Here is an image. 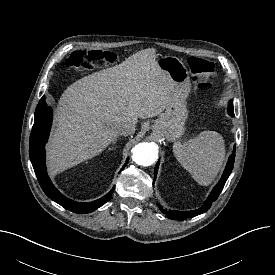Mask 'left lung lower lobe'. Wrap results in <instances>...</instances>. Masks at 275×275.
Instances as JSON below:
<instances>
[{
    "label": "left lung lower lobe",
    "instance_id": "obj_1",
    "mask_svg": "<svg viewBox=\"0 0 275 275\" xmlns=\"http://www.w3.org/2000/svg\"><path fill=\"white\" fill-rule=\"evenodd\" d=\"M234 159H235V149L233 150L232 154L229 157V160L227 162V165H226V168L224 170L221 180L214 187L211 194L209 195V197L207 198V200L205 201L204 205L201 208H199L197 210H193V211H174V210L167 211V210L163 209L161 206H159L161 208L162 213L166 214V216L170 219L184 220L186 218L195 217L197 215H200V214L206 212L211 207V204L214 201H216L219 194L221 193V191H222V189H223V187H224V185L233 169ZM158 167H159V162L156 164V167L154 170V181L156 180Z\"/></svg>",
    "mask_w": 275,
    "mask_h": 275
}]
</instances>
